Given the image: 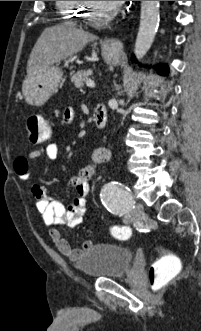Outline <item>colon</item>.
I'll return each instance as SVG.
<instances>
[{
  "label": "colon",
  "instance_id": "colon-1",
  "mask_svg": "<svg viewBox=\"0 0 201 331\" xmlns=\"http://www.w3.org/2000/svg\"><path fill=\"white\" fill-rule=\"evenodd\" d=\"M51 129L48 122L39 115H31L27 119V135L30 142L40 144L50 138ZM114 238L126 240L131 236V229L128 226H114L111 230ZM182 269L180 259L166 253L154 261L149 269L150 286L153 292L163 293L172 282L179 276Z\"/></svg>",
  "mask_w": 201,
  "mask_h": 331
}]
</instances>
